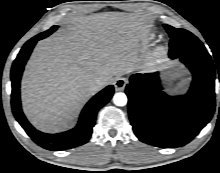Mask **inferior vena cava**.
Returning a JSON list of instances; mask_svg holds the SVG:
<instances>
[{
	"label": "inferior vena cava",
	"mask_w": 220,
	"mask_h": 173,
	"mask_svg": "<svg viewBox=\"0 0 220 173\" xmlns=\"http://www.w3.org/2000/svg\"><path fill=\"white\" fill-rule=\"evenodd\" d=\"M110 83V81L108 79L105 78H97L92 82V87L94 89H102L103 87H105L106 85H108Z\"/></svg>",
	"instance_id": "inferior-vena-cava-1"
}]
</instances>
